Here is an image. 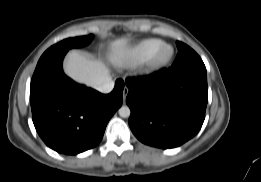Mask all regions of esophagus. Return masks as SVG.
<instances>
[{
	"instance_id": "esophagus-1",
	"label": "esophagus",
	"mask_w": 261,
	"mask_h": 182,
	"mask_svg": "<svg viewBox=\"0 0 261 182\" xmlns=\"http://www.w3.org/2000/svg\"><path fill=\"white\" fill-rule=\"evenodd\" d=\"M129 89L125 86L123 89V101L125 102Z\"/></svg>"
}]
</instances>
